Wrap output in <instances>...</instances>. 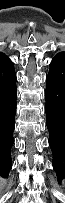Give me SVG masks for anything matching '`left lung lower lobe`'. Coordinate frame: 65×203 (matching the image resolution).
<instances>
[{
	"label": "left lung lower lobe",
	"mask_w": 65,
	"mask_h": 203,
	"mask_svg": "<svg viewBox=\"0 0 65 203\" xmlns=\"http://www.w3.org/2000/svg\"><path fill=\"white\" fill-rule=\"evenodd\" d=\"M46 122L53 168L58 181L65 179V53L57 54L50 63L46 86Z\"/></svg>",
	"instance_id": "left-lung-lower-lobe-1"
}]
</instances>
